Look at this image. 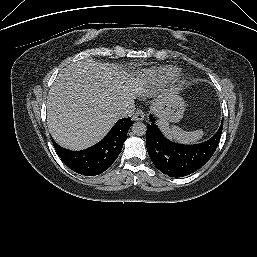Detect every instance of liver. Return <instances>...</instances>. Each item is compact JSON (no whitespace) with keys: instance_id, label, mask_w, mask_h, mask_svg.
Returning a JSON list of instances; mask_svg holds the SVG:
<instances>
[{"instance_id":"liver-1","label":"liver","mask_w":257,"mask_h":257,"mask_svg":"<svg viewBox=\"0 0 257 257\" xmlns=\"http://www.w3.org/2000/svg\"><path fill=\"white\" fill-rule=\"evenodd\" d=\"M144 82L118 66L85 58L70 64L57 76L47 100V123L54 140L71 150L100 141L119 119L125 102L140 96ZM153 102L152 109L164 100Z\"/></svg>"}]
</instances>
